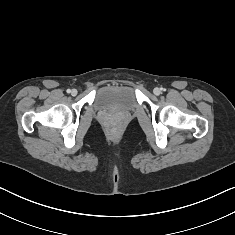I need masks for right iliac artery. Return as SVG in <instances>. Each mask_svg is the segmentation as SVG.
<instances>
[{"label": "right iliac artery", "instance_id": "right-iliac-artery-1", "mask_svg": "<svg viewBox=\"0 0 235 235\" xmlns=\"http://www.w3.org/2000/svg\"><path fill=\"white\" fill-rule=\"evenodd\" d=\"M71 92V90L70 89H67V93H70Z\"/></svg>", "mask_w": 235, "mask_h": 235}]
</instances>
